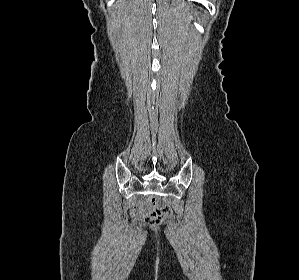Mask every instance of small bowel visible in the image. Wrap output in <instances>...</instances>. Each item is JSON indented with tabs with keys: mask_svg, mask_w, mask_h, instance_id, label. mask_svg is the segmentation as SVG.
Masks as SVG:
<instances>
[{
	"mask_svg": "<svg viewBox=\"0 0 299 280\" xmlns=\"http://www.w3.org/2000/svg\"><path fill=\"white\" fill-rule=\"evenodd\" d=\"M150 210L151 206L149 203H142L134 210L133 214L135 217L143 218L149 214Z\"/></svg>",
	"mask_w": 299,
	"mask_h": 280,
	"instance_id": "small-bowel-1",
	"label": "small bowel"
}]
</instances>
